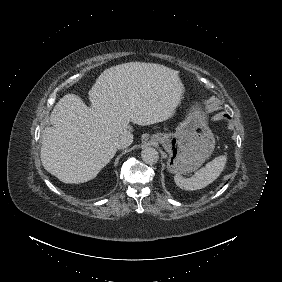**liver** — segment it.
I'll list each match as a JSON object with an SVG mask.
<instances>
[{
  "label": "liver",
  "mask_w": 282,
  "mask_h": 282,
  "mask_svg": "<svg viewBox=\"0 0 282 282\" xmlns=\"http://www.w3.org/2000/svg\"><path fill=\"white\" fill-rule=\"evenodd\" d=\"M178 70L132 61L104 69L88 91L89 105L73 94L55 105L43 130L40 159L65 183L94 178L116 153L112 139L134 126L173 114L181 96Z\"/></svg>",
  "instance_id": "1"
}]
</instances>
